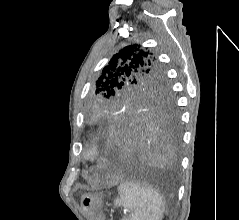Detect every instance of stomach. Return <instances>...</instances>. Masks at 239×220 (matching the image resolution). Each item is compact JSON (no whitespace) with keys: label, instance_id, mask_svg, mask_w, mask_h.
Segmentation results:
<instances>
[{"label":"stomach","instance_id":"1","mask_svg":"<svg viewBox=\"0 0 239 220\" xmlns=\"http://www.w3.org/2000/svg\"><path fill=\"white\" fill-rule=\"evenodd\" d=\"M100 202L98 197L85 194L81 198V207L88 215H96ZM96 220H100V218L97 217Z\"/></svg>","mask_w":239,"mask_h":220}]
</instances>
